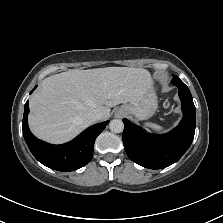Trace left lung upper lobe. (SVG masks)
Returning <instances> with one entry per match:
<instances>
[{
    "mask_svg": "<svg viewBox=\"0 0 223 223\" xmlns=\"http://www.w3.org/2000/svg\"><path fill=\"white\" fill-rule=\"evenodd\" d=\"M175 82H181V80L177 76L174 75L172 83H175Z\"/></svg>",
    "mask_w": 223,
    "mask_h": 223,
    "instance_id": "left-lung-upper-lobe-1",
    "label": "left lung upper lobe"
}]
</instances>
